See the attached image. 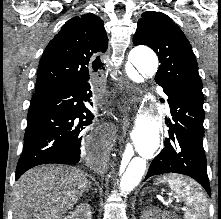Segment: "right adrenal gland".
<instances>
[{"instance_id":"obj_1","label":"right adrenal gland","mask_w":221,"mask_h":219,"mask_svg":"<svg viewBox=\"0 0 221 219\" xmlns=\"http://www.w3.org/2000/svg\"><path fill=\"white\" fill-rule=\"evenodd\" d=\"M90 189H92V185H91V183L89 182L88 187H87V189H86L85 192L88 193Z\"/></svg>"}]
</instances>
